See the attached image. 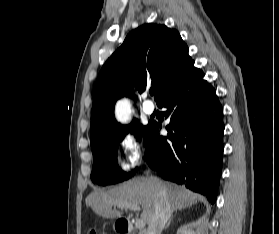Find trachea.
<instances>
[{"label":"trachea","mask_w":279,"mask_h":234,"mask_svg":"<svg viewBox=\"0 0 279 234\" xmlns=\"http://www.w3.org/2000/svg\"><path fill=\"white\" fill-rule=\"evenodd\" d=\"M154 93H155V90L154 89H150V94L154 95Z\"/></svg>","instance_id":"3493384b"}]
</instances>
